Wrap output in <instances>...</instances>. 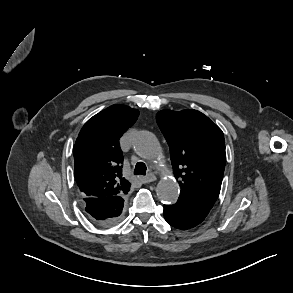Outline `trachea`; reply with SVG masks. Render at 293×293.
Returning a JSON list of instances; mask_svg holds the SVG:
<instances>
[{
  "mask_svg": "<svg viewBox=\"0 0 293 293\" xmlns=\"http://www.w3.org/2000/svg\"><path fill=\"white\" fill-rule=\"evenodd\" d=\"M147 167L143 162H138L134 169L135 175H146Z\"/></svg>",
  "mask_w": 293,
  "mask_h": 293,
  "instance_id": "trachea-1",
  "label": "trachea"
}]
</instances>
